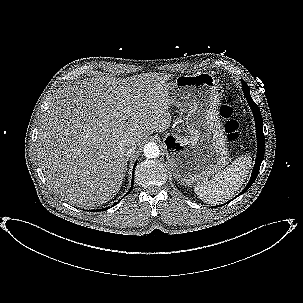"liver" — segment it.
<instances>
[{"mask_svg": "<svg viewBox=\"0 0 303 303\" xmlns=\"http://www.w3.org/2000/svg\"><path fill=\"white\" fill-rule=\"evenodd\" d=\"M171 77L99 74L61 90L44 113L37 139L40 165L53 192L77 207L112 199L127 170L121 141L132 138L140 144L170 126L166 85Z\"/></svg>", "mask_w": 303, "mask_h": 303, "instance_id": "liver-1", "label": "liver"}]
</instances>
